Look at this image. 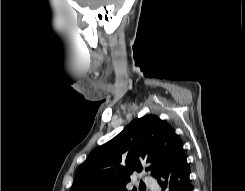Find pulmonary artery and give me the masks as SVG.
I'll return each mask as SVG.
<instances>
[{"mask_svg":"<svg viewBox=\"0 0 245 191\" xmlns=\"http://www.w3.org/2000/svg\"><path fill=\"white\" fill-rule=\"evenodd\" d=\"M144 183L149 187L152 191H160V186L157 181L151 177L144 178Z\"/></svg>","mask_w":245,"mask_h":191,"instance_id":"pulmonary-artery-1","label":"pulmonary artery"}]
</instances>
